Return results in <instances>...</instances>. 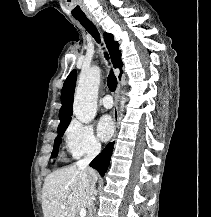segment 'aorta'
Listing matches in <instances>:
<instances>
[{"instance_id":"aorta-1","label":"aorta","mask_w":211,"mask_h":217,"mask_svg":"<svg viewBox=\"0 0 211 217\" xmlns=\"http://www.w3.org/2000/svg\"><path fill=\"white\" fill-rule=\"evenodd\" d=\"M100 68L97 66L82 70L76 89L73 114L82 123H90L96 116L97 96L100 84ZM125 104L121 99V107Z\"/></svg>"}]
</instances>
